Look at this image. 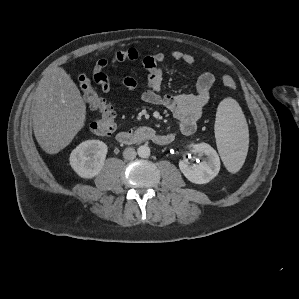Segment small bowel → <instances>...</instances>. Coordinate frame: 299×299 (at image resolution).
<instances>
[{
	"label": "small bowel",
	"instance_id": "1",
	"mask_svg": "<svg viewBox=\"0 0 299 299\" xmlns=\"http://www.w3.org/2000/svg\"><path fill=\"white\" fill-rule=\"evenodd\" d=\"M173 60L193 65L195 58L191 54L174 51L171 54ZM140 53L135 48L117 51L111 60L100 59L96 62L93 70L94 81L101 87L104 93H109L111 89L108 76L104 70L109 65H117L125 61H137ZM163 53H154L142 58V64L148 72L146 88L141 94V99L151 105L164 106L167 108L177 121L175 130L163 134L165 143H169L177 134L192 135L200 121L204 107L209 103L211 89L215 83V77L211 72L202 71L197 79L196 91L188 94H168L162 95L161 88L163 83V70L160 64L164 61ZM122 85L127 90L137 88V81L131 76L122 79Z\"/></svg>",
	"mask_w": 299,
	"mask_h": 299
}]
</instances>
